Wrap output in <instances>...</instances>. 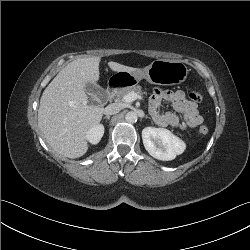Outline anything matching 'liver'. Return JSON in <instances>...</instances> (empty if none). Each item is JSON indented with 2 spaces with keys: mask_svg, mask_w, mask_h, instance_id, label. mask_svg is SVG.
Masks as SVG:
<instances>
[{
  "mask_svg": "<svg viewBox=\"0 0 250 250\" xmlns=\"http://www.w3.org/2000/svg\"><path fill=\"white\" fill-rule=\"evenodd\" d=\"M100 57H83L68 63L44 90L38 109V125L48 144L68 158L88 150L87 132L102 119L104 108L87 104L85 87L99 80ZM115 72L136 68L110 61Z\"/></svg>",
  "mask_w": 250,
  "mask_h": 250,
  "instance_id": "liver-1",
  "label": "liver"
}]
</instances>
